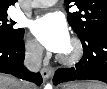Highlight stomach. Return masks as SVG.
Wrapping results in <instances>:
<instances>
[{"label": "stomach", "mask_w": 107, "mask_h": 89, "mask_svg": "<svg viewBox=\"0 0 107 89\" xmlns=\"http://www.w3.org/2000/svg\"><path fill=\"white\" fill-rule=\"evenodd\" d=\"M63 89H85V88H81V87L75 86L73 84H68V85L64 86Z\"/></svg>", "instance_id": "obj_1"}]
</instances>
